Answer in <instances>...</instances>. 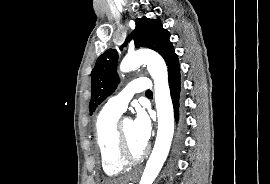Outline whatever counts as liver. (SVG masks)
Wrapping results in <instances>:
<instances>
[{
	"label": "liver",
	"instance_id": "1",
	"mask_svg": "<svg viewBox=\"0 0 270 184\" xmlns=\"http://www.w3.org/2000/svg\"><path fill=\"white\" fill-rule=\"evenodd\" d=\"M129 181V177L126 178H119L115 180H107L104 184H127Z\"/></svg>",
	"mask_w": 270,
	"mask_h": 184
}]
</instances>
